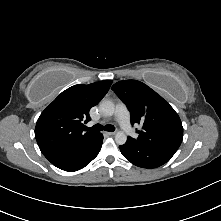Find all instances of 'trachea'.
Here are the masks:
<instances>
[{
    "instance_id": "3493384b",
    "label": "trachea",
    "mask_w": 221,
    "mask_h": 221,
    "mask_svg": "<svg viewBox=\"0 0 221 221\" xmlns=\"http://www.w3.org/2000/svg\"><path fill=\"white\" fill-rule=\"evenodd\" d=\"M86 131H91V132H99L102 130L105 131H109V132H113L115 130V127L113 125H106V126H102L101 124H96L90 128L85 127Z\"/></svg>"
}]
</instances>
